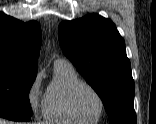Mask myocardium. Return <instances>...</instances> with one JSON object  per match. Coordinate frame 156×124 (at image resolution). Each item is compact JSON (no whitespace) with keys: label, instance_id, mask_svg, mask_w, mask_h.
Listing matches in <instances>:
<instances>
[{"label":"myocardium","instance_id":"obj_1","mask_svg":"<svg viewBox=\"0 0 156 124\" xmlns=\"http://www.w3.org/2000/svg\"><path fill=\"white\" fill-rule=\"evenodd\" d=\"M84 89H87V90L91 91L93 94H95L96 97L99 99L100 104H101L100 114L95 119H92V120L86 119L80 113V111H79V109L77 107V97H78L79 93ZM69 105H70V108H71V111L73 112V114L79 120H81L83 122H87V123L99 121L103 117V115L105 113V109H106V104H105L104 97L101 95V93L96 88H94L93 86H91V85H89L87 83H79V84H77L76 86H74L72 88V90L69 93Z\"/></svg>","mask_w":156,"mask_h":124}]
</instances>
